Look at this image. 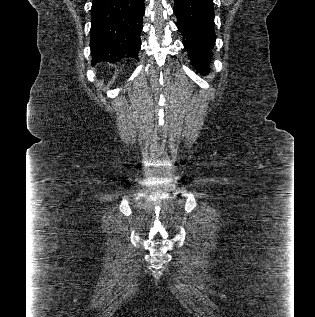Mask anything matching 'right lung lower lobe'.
<instances>
[{
	"instance_id": "98d812e1",
	"label": "right lung lower lobe",
	"mask_w": 315,
	"mask_h": 317,
	"mask_svg": "<svg viewBox=\"0 0 315 317\" xmlns=\"http://www.w3.org/2000/svg\"><path fill=\"white\" fill-rule=\"evenodd\" d=\"M90 47L92 63L138 57L144 0H93Z\"/></svg>"
}]
</instances>
